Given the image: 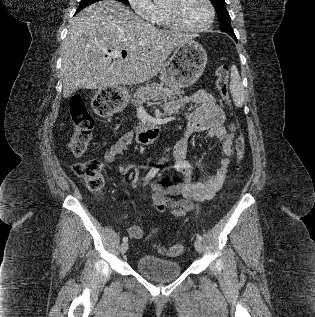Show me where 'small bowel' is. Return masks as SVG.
<instances>
[{
    "label": "small bowel",
    "instance_id": "1",
    "mask_svg": "<svg viewBox=\"0 0 315 317\" xmlns=\"http://www.w3.org/2000/svg\"><path fill=\"white\" fill-rule=\"evenodd\" d=\"M169 113L183 112L187 125L182 137L174 147V169L182 175L179 183L163 186L157 181L150 183L151 201L154 209L159 213L168 211L174 216H184L195 209L197 202L210 200L223 186L233 154V143L236 135V126L229 123L225 126L226 115L223 108L217 103L210 93L199 90L190 95L170 101L166 105ZM197 132H206L210 140H219L223 157L219 166L203 180H194L196 168L187 159V145L189 137ZM133 138V132L122 134L119 139L105 152L103 161L111 164L128 151V146ZM131 168L130 164H120L118 170L126 173ZM181 195V199H173L170 196ZM129 235L133 239H141L144 236L143 228L134 224L129 227ZM159 233L155 228L147 237L150 240Z\"/></svg>",
    "mask_w": 315,
    "mask_h": 317
}]
</instances>
